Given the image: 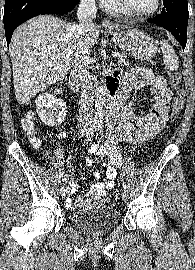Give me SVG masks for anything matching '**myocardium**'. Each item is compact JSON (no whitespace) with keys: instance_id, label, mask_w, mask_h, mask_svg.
Returning <instances> with one entry per match:
<instances>
[{"instance_id":"f54148a6","label":"myocardium","mask_w":195,"mask_h":270,"mask_svg":"<svg viewBox=\"0 0 195 270\" xmlns=\"http://www.w3.org/2000/svg\"><path fill=\"white\" fill-rule=\"evenodd\" d=\"M119 3L123 7V9L126 12H128L130 15L139 17V18L149 17L155 14L162 6V0H156V3L152 9L147 10V11H137L129 5L127 0H119Z\"/></svg>"}]
</instances>
